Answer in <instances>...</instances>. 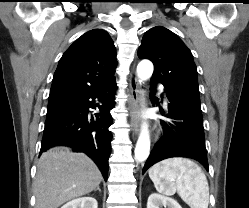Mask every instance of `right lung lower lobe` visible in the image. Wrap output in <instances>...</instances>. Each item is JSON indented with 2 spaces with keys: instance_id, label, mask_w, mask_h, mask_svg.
Listing matches in <instances>:
<instances>
[{
  "instance_id": "obj_1",
  "label": "right lung lower lobe",
  "mask_w": 249,
  "mask_h": 208,
  "mask_svg": "<svg viewBox=\"0 0 249 208\" xmlns=\"http://www.w3.org/2000/svg\"><path fill=\"white\" fill-rule=\"evenodd\" d=\"M115 80L99 89L71 97L50 100L40 154L54 146H69L87 154L107 180L111 153L112 124L110 110L114 107ZM98 100L101 105L95 104ZM99 107L100 113L88 117L89 108Z\"/></svg>"
}]
</instances>
